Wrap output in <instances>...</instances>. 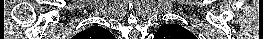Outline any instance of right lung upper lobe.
I'll return each instance as SVG.
<instances>
[{
    "label": "right lung upper lobe",
    "mask_w": 263,
    "mask_h": 39,
    "mask_svg": "<svg viewBox=\"0 0 263 39\" xmlns=\"http://www.w3.org/2000/svg\"><path fill=\"white\" fill-rule=\"evenodd\" d=\"M82 39H110L112 34L100 26H92L77 34Z\"/></svg>",
    "instance_id": "right-lung-upper-lobe-1"
}]
</instances>
